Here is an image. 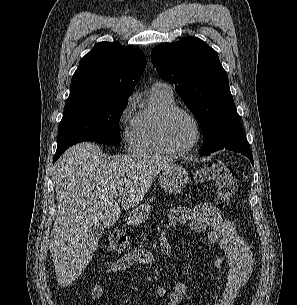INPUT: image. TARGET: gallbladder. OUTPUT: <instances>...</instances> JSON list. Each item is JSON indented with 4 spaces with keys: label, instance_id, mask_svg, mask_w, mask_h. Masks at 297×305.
I'll list each match as a JSON object with an SVG mask.
<instances>
[{
    "label": "gallbladder",
    "instance_id": "1",
    "mask_svg": "<svg viewBox=\"0 0 297 305\" xmlns=\"http://www.w3.org/2000/svg\"><path fill=\"white\" fill-rule=\"evenodd\" d=\"M104 233V225L100 224V223H96L92 225V229H91V237L92 238H100Z\"/></svg>",
    "mask_w": 297,
    "mask_h": 305
}]
</instances>
